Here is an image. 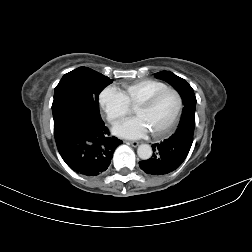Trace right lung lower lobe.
Listing matches in <instances>:
<instances>
[{
  "mask_svg": "<svg viewBox=\"0 0 252 252\" xmlns=\"http://www.w3.org/2000/svg\"><path fill=\"white\" fill-rule=\"evenodd\" d=\"M53 119L58 151L71 169L82 175L97 176L108 168L122 141L109 137L102 119L73 110L61 112Z\"/></svg>",
  "mask_w": 252,
  "mask_h": 252,
  "instance_id": "1",
  "label": "right lung lower lobe"
}]
</instances>
